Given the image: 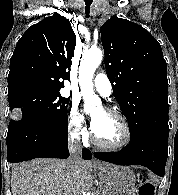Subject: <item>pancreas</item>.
Instances as JSON below:
<instances>
[{"instance_id":"1","label":"pancreas","mask_w":178,"mask_h":195,"mask_svg":"<svg viewBox=\"0 0 178 195\" xmlns=\"http://www.w3.org/2000/svg\"><path fill=\"white\" fill-rule=\"evenodd\" d=\"M95 195H101V194H100V192H96V194H95Z\"/></svg>"}]
</instances>
